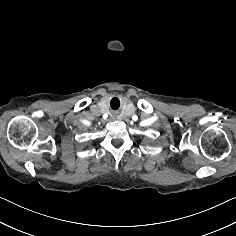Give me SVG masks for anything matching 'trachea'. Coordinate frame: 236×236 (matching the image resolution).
I'll return each mask as SVG.
<instances>
[{"instance_id":"obj_1","label":"trachea","mask_w":236,"mask_h":236,"mask_svg":"<svg viewBox=\"0 0 236 236\" xmlns=\"http://www.w3.org/2000/svg\"><path fill=\"white\" fill-rule=\"evenodd\" d=\"M107 105L109 109L116 111L120 109L122 105L121 98L119 96H112L111 98H109Z\"/></svg>"}]
</instances>
